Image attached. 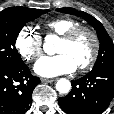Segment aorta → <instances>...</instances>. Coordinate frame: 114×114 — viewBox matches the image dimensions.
I'll return each instance as SVG.
<instances>
[{"label":"aorta","mask_w":114,"mask_h":114,"mask_svg":"<svg viewBox=\"0 0 114 114\" xmlns=\"http://www.w3.org/2000/svg\"><path fill=\"white\" fill-rule=\"evenodd\" d=\"M46 42L44 43V50L46 53H50V50L53 49V42H54V37L50 36L47 37ZM71 89V83L69 80L62 78L59 79L56 83V90L59 91L60 93H68Z\"/></svg>","instance_id":"obj_1"}]
</instances>
